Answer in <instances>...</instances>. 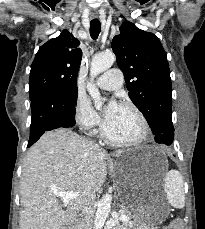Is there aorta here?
<instances>
[{"label":"aorta","instance_id":"762f6f07","mask_svg":"<svg viewBox=\"0 0 205 229\" xmlns=\"http://www.w3.org/2000/svg\"><path fill=\"white\" fill-rule=\"evenodd\" d=\"M115 61V55L112 52H104L95 55L91 62L90 75L91 81L87 84V91L89 95L94 100V105L97 109L102 107V97L99 90L93 83V79L100 73L109 69ZM112 196L110 194H105L102 196L101 200L98 202L97 211L95 214L94 228L102 229L104 223L109 215L111 209Z\"/></svg>","mask_w":205,"mask_h":229}]
</instances>
